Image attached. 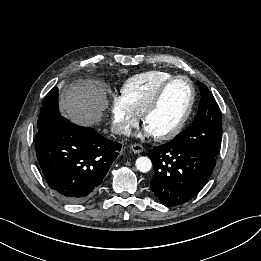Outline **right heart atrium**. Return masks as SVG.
Wrapping results in <instances>:
<instances>
[{
  "instance_id": "obj_1",
  "label": "right heart atrium",
  "mask_w": 261,
  "mask_h": 261,
  "mask_svg": "<svg viewBox=\"0 0 261 261\" xmlns=\"http://www.w3.org/2000/svg\"><path fill=\"white\" fill-rule=\"evenodd\" d=\"M139 121V115L122 95H115L111 102V126L113 130L127 135Z\"/></svg>"
}]
</instances>
